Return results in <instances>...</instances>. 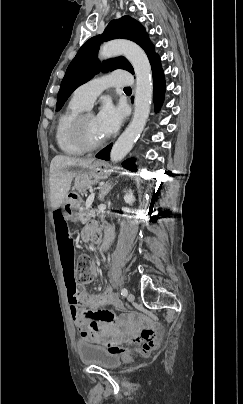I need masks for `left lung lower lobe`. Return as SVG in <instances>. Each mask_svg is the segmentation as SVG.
Returning <instances> with one entry per match:
<instances>
[{
  "mask_svg": "<svg viewBox=\"0 0 243 404\" xmlns=\"http://www.w3.org/2000/svg\"><path fill=\"white\" fill-rule=\"evenodd\" d=\"M151 66H152V73H153V83H154V105H155V110H159V108L162 105L163 99H164V92H165V79H164V73L161 67V61L159 56H156L152 61H151ZM112 145H108L106 148L101 150L96 157L99 159H104V160H109V154L111 150ZM125 168L135 171L136 168L134 166V160L130 159L125 161L122 164Z\"/></svg>",
  "mask_w": 243,
  "mask_h": 404,
  "instance_id": "0a47b994",
  "label": "left lung lower lobe"
}]
</instances>
